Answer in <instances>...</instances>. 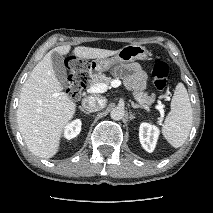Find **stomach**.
I'll return each mask as SVG.
<instances>
[{
	"mask_svg": "<svg viewBox=\"0 0 213 213\" xmlns=\"http://www.w3.org/2000/svg\"><path fill=\"white\" fill-rule=\"evenodd\" d=\"M148 50L141 45H126L117 51L114 57L101 58L93 60L89 64V74L96 76L104 71H108L117 64H127L136 60H146L148 58Z\"/></svg>",
	"mask_w": 213,
	"mask_h": 213,
	"instance_id": "stomach-1",
	"label": "stomach"
}]
</instances>
